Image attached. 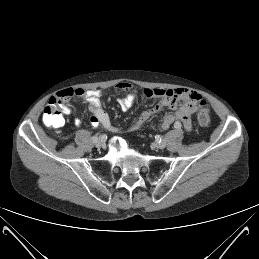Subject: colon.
Returning a JSON list of instances; mask_svg holds the SVG:
<instances>
[{"label": "colon", "mask_w": 259, "mask_h": 259, "mask_svg": "<svg viewBox=\"0 0 259 259\" xmlns=\"http://www.w3.org/2000/svg\"><path fill=\"white\" fill-rule=\"evenodd\" d=\"M62 102L58 99L51 98L48 105L45 107L42 115V120L45 125L50 127H60L63 122ZM200 111L198 113V123L206 127L210 123L209 109L205 101H199Z\"/></svg>", "instance_id": "obj_1"}]
</instances>
